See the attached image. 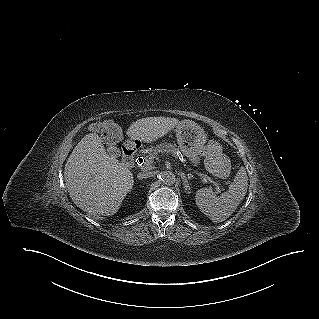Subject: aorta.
Instances as JSON below:
<instances>
[{"label": "aorta", "mask_w": 319, "mask_h": 319, "mask_svg": "<svg viewBox=\"0 0 319 319\" xmlns=\"http://www.w3.org/2000/svg\"><path fill=\"white\" fill-rule=\"evenodd\" d=\"M161 180L166 185H172L175 183L176 177L172 171H163L161 173Z\"/></svg>", "instance_id": "obj_1"}]
</instances>
